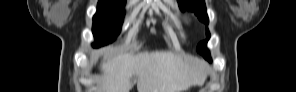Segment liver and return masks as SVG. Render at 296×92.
Instances as JSON below:
<instances>
[{"mask_svg":"<svg viewBox=\"0 0 296 92\" xmlns=\"http://www.w3.org/2000/svg\"><path fill=\"white\" fill-rule=\"evenodd\" d=\"M108 49L98 51L107 54ZM208 64L199 58L180 57L172 51H130L104 61L102 92H182L203 82Z\"/></svg>","mask_w":296,"mask_h":92,"instance_id":"liver-1","label":"liver"}]
</instances>
